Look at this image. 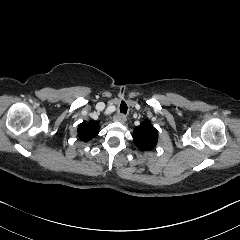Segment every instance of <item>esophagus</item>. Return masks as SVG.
I'll list each match as a JSON object with an SVG mask.
<instances>
[{
  "instance_id": "esophagus-1",
  "label": "esophagus",
  "mask_w": 240,
  "mask_h": 240,
  "mask_svg": "<svg viewBox=\"0 0 240 240\" xmlns=\"http://www.w3.org/2000/svg\"><path fill=\"white\" fill-rule=\"evenodd\" d=\"M113 120L116 122L124 123V122H126V116L121 115V114H116L113 116Z\"/></svg>"
}]
</instances>
